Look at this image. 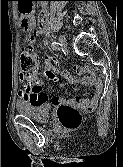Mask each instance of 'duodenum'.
Segmentation results:
<instances>
[{"label": "duodenum", "instance_id": "1", "mask_svg": "<svg viewBox=\"0 0 123 167\" xmlns=\"http://www.w3.org/2000/svg\"><path fill=\"white\" fill-rule=\"evenodd\" d=\"M41 23L43 26H46L48 24V12L47 11L41 12Z\"/></svg>", "mask_w": 123, "mask_h": 167}]
</instances>
